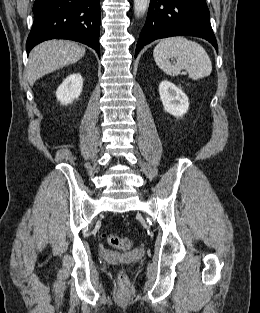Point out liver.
<instances>
[{
  "label": "liver",
  "mask_w": 260,
  "mask_h": 313,
  "mask_svg": "<svg viewBox=\"0 0 260 313\" xmlns=\"http://www.w3.org/2000/svg\"><path fill=\"white\" fill-rule=\"evenodd\" d=\"M85 51L78 43L67 40H50L37 45L29 54V84L33 85L42 76L77 62Z\"/></svg>",
  "instance_id": "6515ba94"
}]
</instances>
